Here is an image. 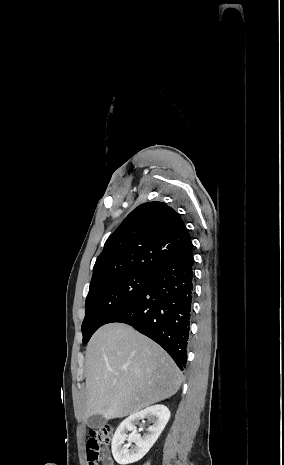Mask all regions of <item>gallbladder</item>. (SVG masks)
I'll return each mask as SVG.
<instances>
[{
    "mask_svg": "<svg viewBox=\"0 0 284 465\" xmlns=\"http://www.w3.org/2000/svg\"><path fill=\"white\" fill-rule=\"evenodd\" d=\"M107 421L104 419V417H100V415H95V417H90V419H87L86 425L88 427H91V429H100V427H103V425H106Z\"/></svg>",
    "mask_w": 284,
    "mask_h": 465,
    "instance_id": "bac80fb5",
    "label": "gallbladder"
}]
</instances>
